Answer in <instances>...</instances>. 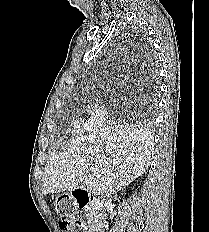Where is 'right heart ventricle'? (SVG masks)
<instances>
[{"mask_svg": "<svg viewBox=\"0 0 209 232\" xmlns=\"http://www.w3.org/2000/svg\"><path fill=\"white\" fill-rule=\"evenodd\" d=\"M86 128V124H84L78 117L73 119L72 122V131L75 133H82Z\"/></svg>", "mask_w": 209, "mask_h": 232, "instance_id": "e07e8e85", "label": "right heart ventricle"}]
</instances>
